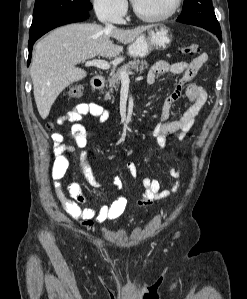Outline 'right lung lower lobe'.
<instances>
[{
    "instance_id": "obj_1",
    "label": "right lung lower lobe",
    "mask_w": 247,
    "mask_h": 299,
    "mask_svg": "<svg viewBox=\"0 0 247 299\" xmlns=\"http://www.w3.org/2000/svg\"><path fill=\"white\" fill-rule=\"evenodd\" d=\"M88 17H89L88 11L71 12V13L65 14L57 19L50 21L46 25L39 28L37 31L30 33L29 34V36H30L29 44H28V49H29L28 65L31 61L33 44L38 38H40L46 32H48L58 26H61V25L67 24V23L83 21V20L87 19Z\"/></svg>"
}]
</instances>
